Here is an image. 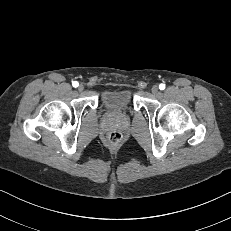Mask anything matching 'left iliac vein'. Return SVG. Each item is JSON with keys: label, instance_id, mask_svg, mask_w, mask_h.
I'll return each mask as SVG.
<instances>
[{"label": "left iliac vein", "instance_id": "left-iliac-vein-1", "mask_svg": "<svg viewBox=\"0 0 231 231\" xmlns=\"http://www.w3.org/2000/svg\"><path fill=\"white\" fill-rule=\"evenodd\" d=\"M151 91H152L153 94H157L158 91H159L158 86H157V85H154V86L152 87Z\"/></svg>", "mask_w": 231, "mask_h": 231}]
</instances>
